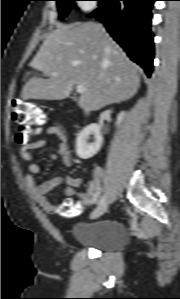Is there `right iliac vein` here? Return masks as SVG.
<instances>
[{
  "mask_svg": "<svg viewBox=\"0 0 180 299\" xmlns=\"http://www.w3.org/2000/svg\"><path fill=\"white\" fill-rule=\"evenodd\" d=\"M108 209V203L105 201L104 203L100 204L91 214L92 219L99 218L102 216Z\"/></svg>",
  "mask_w": 180,
  "mask_h": 299,
  "instance_id": "63e3f726",
  "label": "right iliac vein"
}]
</instances>
